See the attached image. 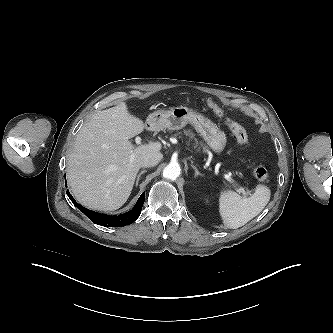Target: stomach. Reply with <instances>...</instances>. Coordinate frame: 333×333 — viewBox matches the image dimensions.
<instances>
[{"instance_id": "stomach-1", "label": "stomach", "mask_w": 333, "mask_h": 333, "mask_svg": "<svg viewBox=\"0 0 333 333\" xmlns=\"http://www.w3.org/2000/svg\"><path fill=\"white\" fill-rule=\"evenodd\" d=\"M147 123L156 130H179L189 123L216 153H221L227 143L224 131L203 114L187 106L155 111L148 116Z\"/></svg>"}]
</instances>
